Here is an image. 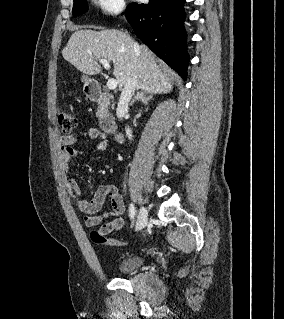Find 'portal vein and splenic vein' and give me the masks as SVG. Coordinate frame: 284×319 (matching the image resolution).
<instances>
[{
	"label": "portal vein and splenic vein",
	"mask_w": 284,
	"mask_h": 319,
	"mask_svg": "<svg viewBox=\"0 0 284 319\" xmlns=\"http://www.w3.org/2000/svg\"><path fill=\"white\" fill-rule=\"evenodd\" d=\"M99 62L104 66L105 69L109 70L110 65L109 62L106 59H100ZM118 82L114 78H110L107 82V87L110 90H114L117 88Z\"/></svg>",
	"instance_id": "obj_1"
}]
</instances>
